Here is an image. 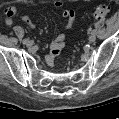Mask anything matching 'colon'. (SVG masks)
<instances>
[{
    "mask_svg": "<svg viewBox=\"0 0 119 119\" xmlns=\"http://www.w3.org/2000/svg\"><path fill=\"white\" fill-rule=\"evenodd\" d=\"M109 13V8L106 5L98 6L94 11V17L97 20H103Z\"/></svg>",
    "mask_w": 119,
    "mask_h": 119,
    "instance_id": "5ec220e1",
    "label": "colon"
}]
</instances>
